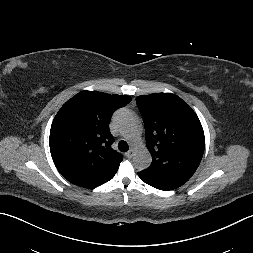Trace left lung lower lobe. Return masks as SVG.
<instances>
[{
    "instance_id": "obj_1",
    "label": "left lung lower lobe",
    "mask_w": 253,
    "mask_h": 253,
    "mask_svg": "<svg viewBox=\"0 0 253 253\" xmlns=\"http://www.w3.org/2000/svg\"><path fill=\"white\" fill-rule=\"evenodd\" d=\"M138 175L142 181H144L148 185H150L154 188L160 189V190L168 191V190L176 189L182 185V184H179L176 182L152 179V178L142 175L141 173H138Z\"/></svg>"
}]
</instances>
